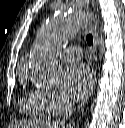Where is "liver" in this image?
Masks as SVG:
<instances>
[{
    "label": "liver",
    "instance_id": "6515ba94",
    "mask_svg": "<svg viewBox=\"0 0 125 128\" xmlns=\"http://www.w3.org/2000/svg\"><path fill=\"white\" fill-rule=\"evenodd\" d=\"M18 127L25 128V127H28V125H26V123H20V124H18Z\"/></svg>",
    "mask_w": 125,
    "mask_h": 128
}]
</instances>
